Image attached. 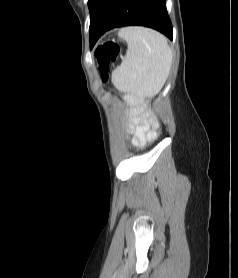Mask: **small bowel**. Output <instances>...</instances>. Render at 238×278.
<instances>
[{
    "label": "small bowel",
    "mask_w": 238,
    "mask_h": 278,
    "mask_svg": "<svg viewBox=\"0 0 238 278\" xmlns=\"http://www.w3.org/2000/svg\"><path fill=\"white\" fill-rule=\"evenodd\" d=\"M146 95L139 92L131 97V102L136 106V111H140V105L143 103ZM129 131L133 134V144L143 146L147 141L156 136L155 129L145 119L135 118L129 125Z\"/></svg>",
    "instance_id": "c3829d8e"
}]
</instances>
